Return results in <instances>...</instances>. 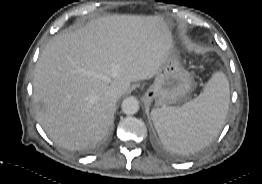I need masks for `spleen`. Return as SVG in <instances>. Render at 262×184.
Instances as JSON below:
<instances>
[{
	"instance_id": "spleen-1",
	"label": "spleen",
	"mask_w": 262,
	"mask_h": 184,
	"mask_svg": "<svg viewBox=\"0 0 262 184\" xmlns=\"http://www.w3.org/2000/svg\"><path fill=\"white\" fill-rule=\"evenodd\" d=\"M230 101L229 81L216 72L200 95L181 107H160L151 111L164 146L176 153H193L212 142L222 130Z\"/></svg>"
}]
</instances>
